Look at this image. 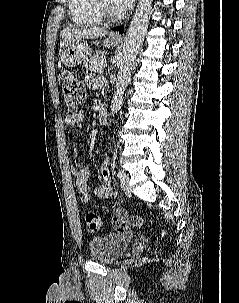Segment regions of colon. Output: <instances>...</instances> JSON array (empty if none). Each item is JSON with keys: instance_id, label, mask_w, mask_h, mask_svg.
<instances>
[{"instance_id": "obj_1", "label": "colon", "mask_w": 239, "mask_h": 303, "mask_svg": "<svg viewBox=\"0 0 239 303\" xmlns=\"http://www.w3.org/2000/svg\"><path fill=\"white\" fill-rule=\"evenodd\" d=\"M62 94L68 112L75 115L78 110L84 105L86 99L85 87L78 77L70 71L62 73ZM117 228L120 229L123 223H134L132 218H122L117 220ZM85 222L89 230L97 232L102 228L100 217L93 212L86 214Z\"/></svg>"}]
</instances>
